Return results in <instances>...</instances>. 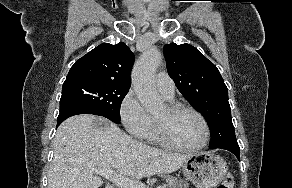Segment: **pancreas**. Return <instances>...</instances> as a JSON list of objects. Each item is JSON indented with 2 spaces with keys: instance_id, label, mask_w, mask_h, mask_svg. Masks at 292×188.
I'll list each match as a JSON object with an SVG mask.
<instances>
[{
  "instance_id": "pancreas-1",
  "label": "pancreas",
  "mask_w": 292,
  "mask_h": 188,
  "mask_svg": "<svg viewBox=\"0 0 292 188\" xmlns=\"http://www.w3.org/2000/svg\"><path fill=\"white\" fill-rule=\"evenodd\" d=\"M165 180L166 184H164L163 188H187L188 186L186 182L177 177L166 176Z\"/></svg>"
}]
</instances>
